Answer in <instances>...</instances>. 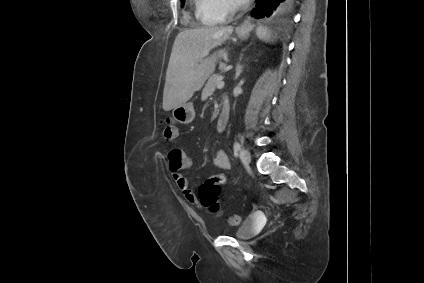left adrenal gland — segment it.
<instances>
[{
	"label": "left adrenal gland",
	"instance_id": "a2214340",
	"mask_svg": "<svg viewBox=\"0 0 424 283\" xmlns=\"http://www.w3.org/2000/svg\"><path fill=\"white\" fill-rule=\"evenodd\" d=\"M242 71H243V67L238 64L236 66V76H235V79H237L241 75Z\"/></svg>",
	"mask_w": 424,
	"mask_h": 283
}]
</instances>
